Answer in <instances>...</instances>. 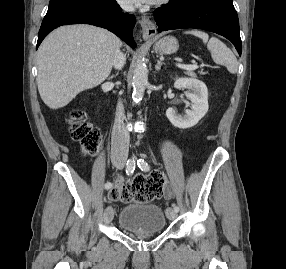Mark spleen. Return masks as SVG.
<instances>
[{"mask_svg":"<svg viewBox=\"0 0 286 269\" xmlns=\"http://www.w3.org/2000/svg\"><path fill=\"white\" fill-rule=\"evenodd\" d=\"M186 34H192L199 37L207 44V48L211 53L212 59L215 63L224 65L227 70L235 74L238 70V62L233 52L218 38L212 37L209 39L207 33L199 30L187 31Z\"/></svg>","mask_w":286,"mask_h":269,"instance_id":"obj_1","label":"spleen"}]
</instances>
